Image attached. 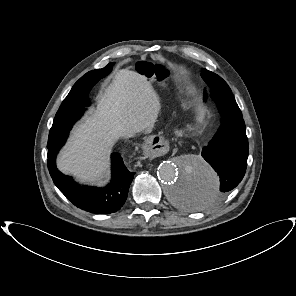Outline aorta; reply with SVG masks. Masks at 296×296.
<instances>
[{
  "instance_id": "obj_1",
  "label": "aorta",
  "mask_w": 296,
  "mask_h": 296,
  "mask_svg": "<svg viewBox=\"0 0 296 296\" xmlns=\"http://www.w3.org/2000/svg\"><path fill=\"white\" fill-rule=\"evenodd\" d=\"M158 178L166 185L170 203L178 210L196 212L210 206L219 189L217 173L203 159L188 155L179 164L163 162Z\"/></svg>"
}]
</instances>
